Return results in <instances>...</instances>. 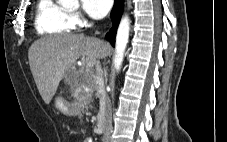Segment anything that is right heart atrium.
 <instances>
[{
    "label": "right heart atrium",
    "instance_id": "1",
    "mask_svg": "<svg viewBox=\"0 0 227 142\" xmlns=\"http://www.w3.org/2000/svg\"><path fill=\"white\" fill-rule=\"evenodd\" d=\"M74 25H80L83 22L82 17L78 13H73L71 15Z\"/></svg>",
    "mask_w": 227,
    "mask_h": 142
}]
</instances>
